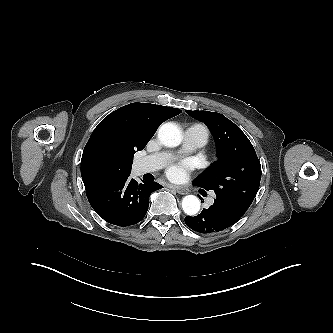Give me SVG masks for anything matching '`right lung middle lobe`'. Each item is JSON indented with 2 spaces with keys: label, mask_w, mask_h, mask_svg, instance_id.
<instances>
[{
  "label": "right lung middle lobe",
  "mask_w": 333,
  "mask_h": 333,
  "mask_svg": "<svg viewBox=\"0 0 333 333\" xmlns=\"http://www.w3.org/2000/svg\"><path fill=\"white\" fill-rule=\"evenodd\" d=\"M139 151L141 149H136L135 147H125L119 151H117V153H119L121 155V157L123 159H125L127 162H129L130 164L133 163V156L135 151Z\"/></svg>",
  "instance_id": "obj_1"
}]
</instances>
